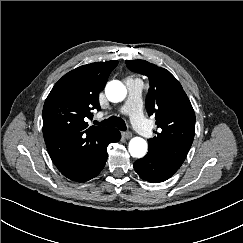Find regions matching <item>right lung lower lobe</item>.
<instances>
[{
  "label": "right lung lower lobe",
  "mask_w": 243,
  "mask_h": 243,
  "mask_svg": "<svg viewBox=\"0 0 243 243\" xmlns=\"http://www.w3.org/2000/svg\"><path fill=\"white\" fill-rule=\"evenodd\" d=\"M120 140V132L114 129L108 136L102 149L85 165L82 166H57L59 171L73 181L85 182L96 177L104 168L108 153L107 146Z\"/></svg>",
  "instance_id": "1"
}]
</instances>
